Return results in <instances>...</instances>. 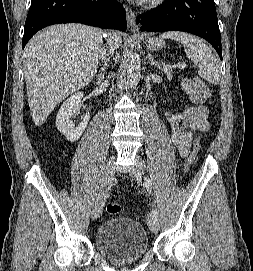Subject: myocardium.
I'll use <instances>...</instances> for the list:
<instances>
[{"mask_svg":"<svg viewBox=\"0 0 253 271\" xmlns=\"http://www.w3.org/2000/svg\"><path fill=\"white\" fill-rule=\"evenodd\" d=\"M164 2L165 0H146L147 5L151 8L160 6Z\"/></svg>","mask_w":253,"mask_h":271,"instance_id":"obj_1","label":"myocardium"}]
</instances>
